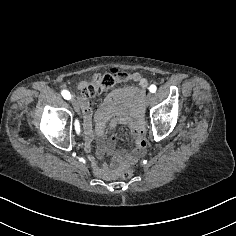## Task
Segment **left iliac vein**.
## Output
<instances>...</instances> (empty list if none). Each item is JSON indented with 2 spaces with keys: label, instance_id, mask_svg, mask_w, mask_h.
Here are the masks:
<instances>
[{
  "label": "left iliac vein",
  "instance_id": "1",
  "mask_svg": "<svg viewBox=\"0 0 236 236\" xmlns=\"http://www.w3.org/2000/svg\"><path fill=\"white\" fill-rule=\"evenodd\" d=\"M151 102H156L157 101V96L155 94H152L149 99Z\"/></svg>",
  "mask_w": 236,
  "mask_h": 236
}]
</instances>
